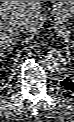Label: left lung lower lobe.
Returning <instances> with one entry per match:
<instances>
[{"label":"left lung lower lobe","mask_w":74,"mask_h":122,"mask_svg":"<svg viewBox=\"0 0 74 122\" xmlns=\"http://www.w3.org/2000/svg\"><path fill=\"white\" fill-rule=\"evenodd\" d=\"M60 84L68 90L74 91V80L70 77H67L63 79V81L60 82Z\"/></svg>","instance_id":"obj_1"}]
</instances>
